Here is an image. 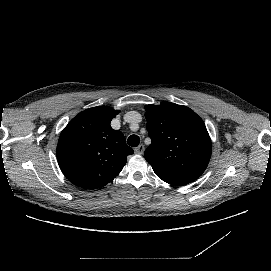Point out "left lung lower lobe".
<instances>
[{"label": "left lung lower lobe", "instance_id": "obj_1", "mask_svg": "<svg viewBox=\"0 0 271 271\" xmlns=\"http://www.w3.org/2000/svg\"><path fill=\"white\" fill-rule=\"evenodd\" d=\"M154 172L156 175L162 179L163 181L172 184V185H184L190 182L195 181L199 176L185 174L181 172L163 170L159 168L153 167Z\"/></svg>", "mask_w": 271, "mask_h": 271}]
</instances>
